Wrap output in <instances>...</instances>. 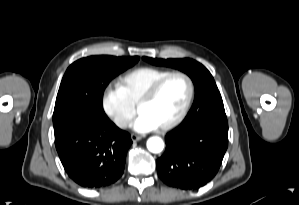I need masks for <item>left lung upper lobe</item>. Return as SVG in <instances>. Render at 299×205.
I'll use <instances>...</instances> for the list:
<instances>
[{
  "label": "left lung upper lobe",
  "mask_w": 299,
  "mask_h": 205,
  "mask_svg": "<svg viewBox=\"0 0 299 205\" xmlns=\"http://www.w3.org/2000/svg\"><path fill=\"white\" fill-rule=\"evenodd\" d=\"M151 64L173 67L185 72L195 85V100L185 119H198L214 110L224 109L223 101L210 72L199 62L184 59H157L143 57Z\"/></svg>",
  "instance_id": "1"
}]
</instances>
